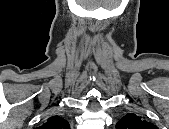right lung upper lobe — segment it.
Returning <instances> with one entry per match:
<instances>
[{
  "instance_id": "1",
  "label": "right lung upper lobe",
  "mask_w": 169,
  "mask_h": 129,
  "mask_svg": "<svg viewBox=\"0 0 169 129\" xmlns=\"http://www.w3.org/2000/svg\"><path fill=\"white\" fill-rule=\"evenodd\" d=\"M45 129H68L69 123L60 116H53L42 126Z\"/></svg>"
}]
</instances>
